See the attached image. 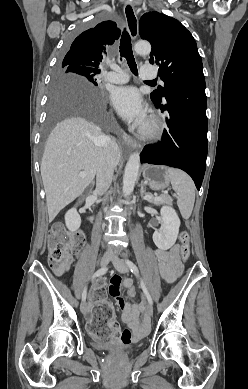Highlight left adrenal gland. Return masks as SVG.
<instances>
[{"label":"left adrenal gland","instance_id":"1","mask_svg":"<svg viewBox=\"0 0 248 389\" xmlns=\"http://www.w3.org/2000/svg\"><path fill=\"white\" fill-rule=\"evenodd\" d=\"M140 195L143 199H144V196L146 195V189L144 188V182L141 183Z\"/></svg>","mask_w":248,"mask_h":389}]
</instances>
